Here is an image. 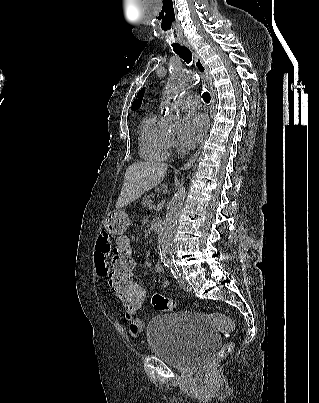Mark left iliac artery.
Listing matches in <instances>:
<instances>
[{
    "instance_id": "left-iliac-artery-1",
    "label": "left iliac artery",
    "mask_w": 319,
    "mask_h": 403,
    "mask_svg": "<svg viewBox=\"0 0 319 403\" xmlns=\"http://www.w3.org/2000/svg\"><path fill=\"white\" fill-rule=\"evenodd\" d=\"M169 268H170L171 273L173 274L174 278L177 279V278L180 277L181 274H180V272H179V270H178V268H177L175 262L170 263V264H169Z\"/></svg>"
}]
</instances>
